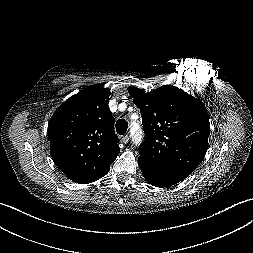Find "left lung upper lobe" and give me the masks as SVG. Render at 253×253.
<instances>
[{
	"label": "left lung upper lobe",
	"instance_id": "1",
	"mask_svg": "<svg viewBox=\"0 0 253 253\" xmlns=\"http://www.w3.org/2000/svg\"><path fill=\"white\" fill-rule=\"evenodd\" d=\"M128 92L140 109L146 138L140 157L165 171L191 174L207 152L209 117L200 101L172 85Z\"/></svg>",
	"mask_w": 253,
	"mask_h": 253
}]
</instances>
